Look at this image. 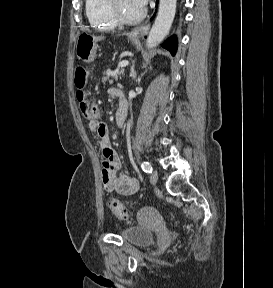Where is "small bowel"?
Listing matches in <instances>:
<instances>
[{
  "label": "small bowel",
  "mask_w": 273,
  "mask_h": 288,
  "mask_svg": "<svg viewBox=\"0 0 273 288\" xmlns=\"http://www.w3.org/2000/svg\"><path fill=\"white\" fill-rule=\"evenodd\" d=\"M117 89H110L109 93L116 96ZM118 125L123 123L117 122ZM89 129L95 134L99 141L102 156V183L107 192L129 196L135 194L139 189L138 181L120 171L118 156L110 144L108 127L100 121H90Z\"/></svg>",
  "instance_id": "1"
}]
</instances>
